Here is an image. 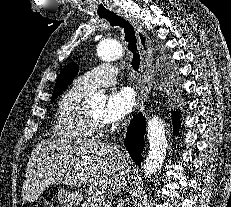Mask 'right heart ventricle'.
<instances>
[{
  "mask_svg": "<svg viewBox=\"0 0 231 207\" xmlns=\"http://www.w3.org/2000/svg\"><path fill=\"white\" fill-rule=\"evenodd\" d=\"M90 92L78 88L75 83L63 94L54 122V135L69 142H82L92 138L96 128L85 116L83 102Z\"/></svg>",
  "mask_w": 231,
  "mask_h": 207,
  "instance_id": "1",
  "label": "right heart ventricle"
}]
</instances>
